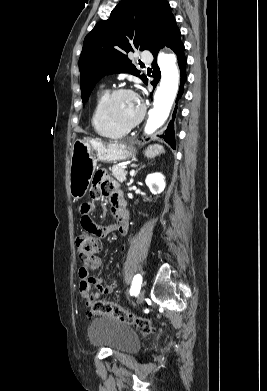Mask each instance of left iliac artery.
I'll return each mask as SVG.
<instances>
[{
    "mask_svg": "<svg viewBox=\"0 0 267 391\" xmlns=\"http://www.w3.org/2000/svg\"><path fill=\"white\" fill-rule=\"evenodd\" d=\"M142 283V277L140 274L136 275L133 279V283L130 289V294L133 295L135 293H138L141 288Z\"/></svg>",
    "mask_w": 267,
    "mask_h": 391,
    "instance_id": "obj_1",
    "label": "left iliac artery"
}]
</instances>
